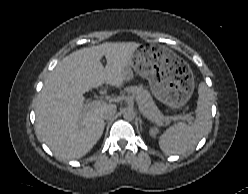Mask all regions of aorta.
I'll list each match as a JSON object with an SVG mask.
<instances>
[{
  "label": "aorta",
  "mask_w": 248,
  "mask_h": 194,
  "mask_svg": "<svg viewBox=\"0 0 248 194\" xmlns=\"http://www.w3.org/2000/svg\"><path fill=\"white\" fill-rule=\"evenodd\" d=\"M123 117H124L125 120L131 121V120L134 119L135 114H134V112L132 110H126L123 113Z\"/></svg>",
  "instance_id": "762f6f07"
}]
</instances>
